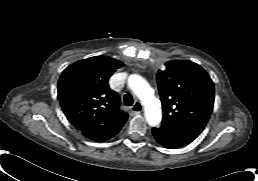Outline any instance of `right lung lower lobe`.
Returning a JSON list of instances; mask_svg holds the SVG:
<instances>
[{"label":"right lung lower lobe","instance_id":"1","mask_svg":"<svg viewBox=\"0 0 258 181\" xmlns=\"http://www.w3.org/2000/svg\"><path fill=\"white\" fill-rule=\"evenodd\" d=\"M125 122L115 123L107 126H103L97 129H94L92 131H89L87 133H84V135L94 141L102 142L106 141L110 138H112L114 135H116Z\"/></svg>","mask_w":258,"mask_h":181}]
</instances>
